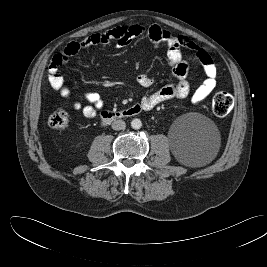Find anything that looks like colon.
Masks as SVG:
<instances>
[{"mask_svg": "<svg viewBox=\"0 0 267 267\" xmlns=\"http://www.w3.org/2000/svg\"><path fill=\"white\" fill-rule=\"evenodd\" d=\"M233 105V96L226 91H219L213 96L212 110L217 117L227 116L233 109ZM48 123L52 128L65 129L69 123V116L64 110L57 109L49 116Z\"/></svg>", "mask_w": 267, "mask_h": 267, "instance_id": "colon-1", "label": "colon"}]
</instances>
